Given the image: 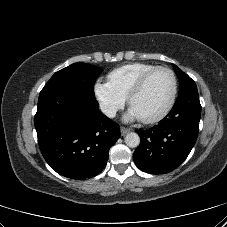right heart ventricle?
<instances>
[{"instance_id":"right-heart-ventricle-1","label":"right heart ventricle","mask_w":227,"mask_h":227,"mask_svg":"<svg viewBox=\"0 0 227 227\" xmlns=\"http://www.w3.org/2000/svg\"><path fill=\"white\" fill-rule=\"evenodd\" d=\"M156 65L144 62H134L119 66L109 72L107 78L110 86L122 97L127 95L136 81Z\"/></svg>"}]
</instances>
